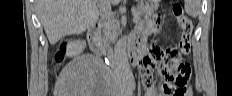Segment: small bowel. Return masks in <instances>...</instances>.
I'll use <instances>...</instances> for the list:
<instances>
[{"label": "small bowel", "instance_id": "1", "mask_svg": "<svg viewBox=\"0 0 232 96\" xmlns=\"http://www.w3.org/2000/svg\"><path fill=\"white\" fill-rule=\"evenodd\" d=\"M165 11H149V19L139 26L138 30H129V35H135L129 38V43H134L140 46L143 43H154V38H147L149 35H159L163 32L165 35H174L177 32L178 25H173V22H167L163 19ZM162 39L165 37L163 34L160 36ZM165 54L160 49H153L141 55V79L144 87L145 95L155 96L153 87V71L159 69L161 71L160 60ZM168 60V57H167ZM190 66V65H189ZM159 96H173V91L169 85L164 83L160 86L158 93Z\"/></svg>", "mask_w": 232, "mask_h": 96}]
</instances>
